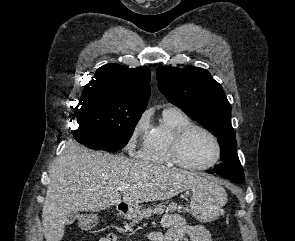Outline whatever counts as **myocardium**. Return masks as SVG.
I'll use <instances>...</instances> for the list:
<instances>
[{
  "mask_svg": "<svg viewBox=\"0 0 295 241\" xmlns=\"http://www.w3.org/2000/svg\"><path fill=\"white\" fill-rule=\"evenodd\" d=\"M193 130H201L205 132L215 143L216 156L214 160L207 165L197 166V165L189 164L188 162L184 160L182 156L183 142L186 139V137L189 135V133L192 132ZM169 154L173 163L177 164L178 166L184 169L191 170V171H204V170L212 168L219 162L222 156V146L218 137L209 128L200 124L190 123L180 128L175 133L169 145Z\"/></svg>",
  "mask_w": 295,
  "mask_h": 241,
  "instance_id": "f54148a6",
  "label": "myocardium"
}]
</instances>
